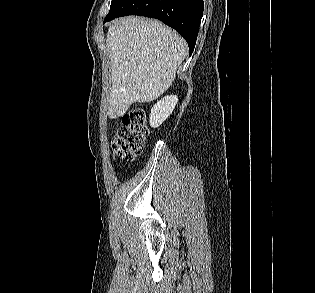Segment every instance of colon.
<instances>
[{"mask_svg": "<svg viewBox=\"0 0 315 293\" xmlns=\"http://www.w3.org/2000/svg\"><path fill=\"white\" fill-rule=\"evenodd\" d=\"M123 125L112 140L115 156L122 160H130L139 155L148 135L145 113L142 109H132L122 116Z\"/></svg>", "mask_w": 315, "mask_h": 293, "instance_id": "5ec220e1", "label": "colon"}]
</instances>
